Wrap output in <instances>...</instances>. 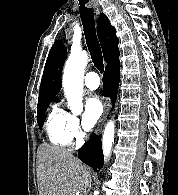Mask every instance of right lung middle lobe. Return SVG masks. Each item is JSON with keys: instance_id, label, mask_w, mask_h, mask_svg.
I'll return each mask as SVG.
<instances>
[{"instance_id": "dd1d6c3e", "label": "right lung middle lobe", "mask_w": 178, "mask_h": 195, "mask_svg": "<svg viewBox=\"0 0 178 195\" xmlns=\"http://www.w3.org/2000/svg\"><path fill=\"white\" fill-rule=\"evenodd\" d=\"M50 102L42 103L37 106V122L39 127L43 126V118Z\"/></svg>"}]
</instances>
